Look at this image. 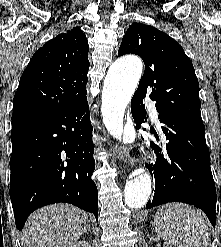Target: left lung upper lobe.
I'll list each match as a JSON object with an SVG mask.
<instances>
[{
    "label": "left lung upper lobe",
    "instance_id": "obj_1",
    "mask_svg": "<svg viewBox=\"0 0 221 247\" xmlns=\"http://www.w3.org/2000/svg\"><path fill=\"white\" fill-rule=\"evenodd\" d=\"M133 53L145 63L135 94L150 93L158 113L190 123H202L199 83L191 60L170 36L153 26L134 23L125 33L118 55Z\"/></svg>",
    "mask_w": 221,
    "mask_h": 247
}]
</instances>
